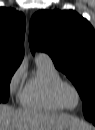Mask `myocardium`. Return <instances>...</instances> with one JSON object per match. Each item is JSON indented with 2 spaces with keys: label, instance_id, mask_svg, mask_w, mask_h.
I'll return each mask as SVG.
<instances>
[{
  "label": "myocardium",
  "instance_id": "1",
  "mask_svg": "<svg viewBox=\"0 0 95 130\" xmlns=\"http://www.w3.org/2000/svg\"><path fill=\"white\" fill-rule=\"evenodd\" d=\"M66 87L72 88L77 93L78 104L75 107L68 106L65 103V101H64L63 90ZM54 93H55V96H56L58 102L63 106L64 109L75 110V109L79 108L80 105H81V103H82V93H81L80 89L73 82H70V81H67V80H61V81H59L56 84L55 88H54Z\"/></svg>",
  "mask_w": 95,
  "mask_h": 130
}]
</instances>
